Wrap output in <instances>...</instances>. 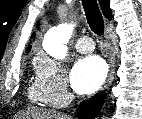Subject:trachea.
I'll return each mask as SVG.
<instances>
[{
    "label": "trachea",
    "instance_id": "1",
    "mask_svg": "<svg viewBox=\"0 0 142 119\" xmlns=\"http://www.w3.org/2000/svg\"><path fill=\"white\" fill-rule=\"evenodd\" d=\"M85 15L91 30L98 36L104 34V21L96 0H82Z\"/></svg>",
    "mask_w": 142,
    "mask_h": 119
}]
</instances>
